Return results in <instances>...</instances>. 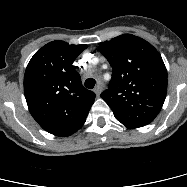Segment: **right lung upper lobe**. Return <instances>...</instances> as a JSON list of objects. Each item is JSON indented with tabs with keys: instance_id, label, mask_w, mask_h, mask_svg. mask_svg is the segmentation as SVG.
I'll list each match as a JSON object with an SVG mask.
<instances>
[{
	"instance_id": "cb5924a9",
	"label": "right lung upper lobe",
	"mask_w": 187,
	"mask_h": 187,
	"mask_svg": "<svg viewBox=\"0 0 187 187\" xmlns=\"http://www.w3.org/2000/svg\"><path fill=\"white\" fill-rule=\"evenodd\" d=\"M86 45L52 41L31 58L24 75L29 111L47 132L67 137L86 121L95 94L81 84L72 65Z\"/></svg>"
}]
</instances>
